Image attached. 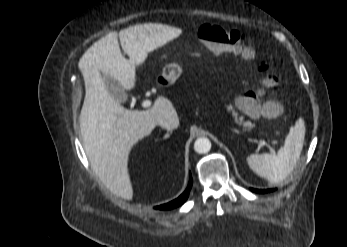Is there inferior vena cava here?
<instances>
[{
  "label": "inferior vena cava",
  "mask_w": 347,
  "mask_h": 247,
  "mask_svg": "<svg viewBox=\"0 0 347 247\" xmlns=\"http://www.w3.org/2000/svg\"><path fill=\"white\" fill-rule=\"evenodd\" d=\"M160 127L165 128L170 131L176 129L178 127V119L171 116H164L158 119L157 123Z\"/></svg>",
  "instance_id": "inferior-vena-cava-1"
}]
</instances>
